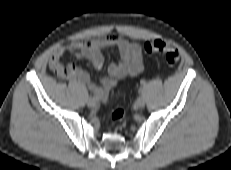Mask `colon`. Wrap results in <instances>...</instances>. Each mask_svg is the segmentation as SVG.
<instances>
[{
    "label": "colon",
    "instance_id": "5ec220e1",
    "mask_svg": "<svg viewBox=\"0 0 231 170\" xmlns=\"http://www.w3.org/2000/svg\"><path fill=\"white\" fill-rule=\"evenodd\" d=\"M144 49L149 54H159L164 56L167 64L170 67L176 66L179 61V52L170 46L168 43L160 39H154L147 41L144 45ZM71 71L70 67H63L62 69L55 71L59 77H67ZM126 116V111L123 108H117L113 111L111 119L108 121L107 126L112 128L115 124Z\"/></svg>",
    "mask_w": 231,
    "mask_h": 170
}]
</instances>
